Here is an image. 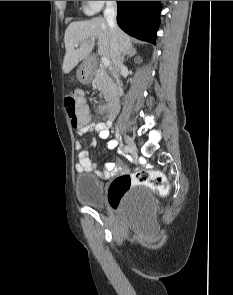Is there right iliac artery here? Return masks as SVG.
<instances>
[{"label": "right iliac artery", "mask_w": 233, "mask_h": 295, "mask_svg": "<svg viewBox=\"0 0 233 295\" xmlns=\"http://www.w3.org/2000/svg\"><path fill=\"white\" fill-rule=\"evenodd\" d=\"M124 153H128V148L123 147Z\"/></svg>", "instance_id": "obj_1"}]
</instances>
